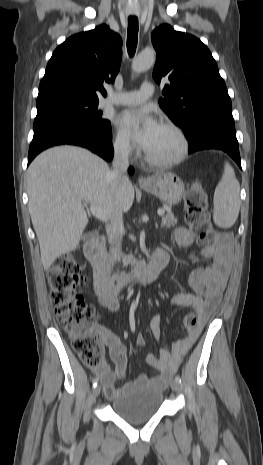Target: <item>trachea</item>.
<instances>
[{"label": "trachea", "mask_w": 263, "mask_h": 465, "mask_svg": "<svg viewBox=\"0 0 263 465\" xmlns=\"http://www.w3.org/2000/svg\"><path fill=\"white\" fill-rule=\"evenodd\" d=\"M138 43V18H128V30H127V51L129 56H133L136 51Z\"/></svg>", "instance_id": "3493384b"}]
</instances>
